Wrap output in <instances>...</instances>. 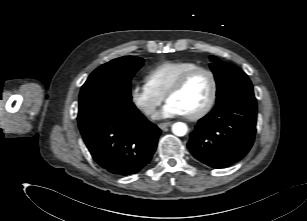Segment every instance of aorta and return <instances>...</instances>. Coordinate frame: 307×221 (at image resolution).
Here are the masks:
<instances>
[{"label": "aorta", "instance_id": "aorta-1", "mask_svg": "<svg viewBox=\"0 0 307 221\" xmlns=\"http://www.w3.org/2000/svg\"><path fill=\"white\" fill-rule=\"evenodd\" d=\"M188 131V127L185 123L176 122L172 125V132L176 136H184Z\"/></svg>", "mask_w": 307, "mask_h": 221}]
</instances>
